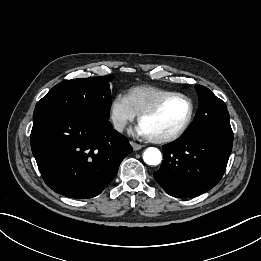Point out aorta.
<instances>
[{
  "instance_id": "1",
  "label": "aorta",
  "mask_w": 261,
  "mask_h": 261,
  "mask_svg": "<svg viewBox=\"0 0 261 261\" xmlns=\"http://www.w3.org/2000/svg\"><path fill=\"white\" fill-rule=\"evenodd\" d=\"M143 159L148 165H158L162 160V155L159 149L149 147L145 150Z\"/></svg>"
}]
</instances>
